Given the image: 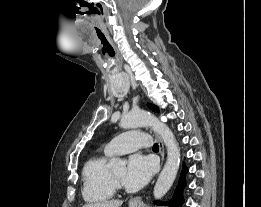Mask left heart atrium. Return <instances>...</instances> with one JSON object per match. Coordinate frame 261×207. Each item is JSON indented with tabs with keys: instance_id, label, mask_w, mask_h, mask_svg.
<instances>
[{
	"instance_id": "obj_1",
	"label": "left heart atrium",
	"mask_w": 261,
	"mask_h": 207,
	"mask_svg": "<svg viewBox=\"0 0 261 207\" xmlns=\"http://www.w3.org/2000/svg\"><path fill=\"white\" fill-rule=\"evenodd\" d=\"M154 170L155 162L151 157L135 154L128 161L123 183L129 188H140L149 181Z\"/></svg>"
}]
</instances>
